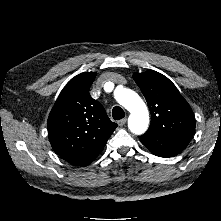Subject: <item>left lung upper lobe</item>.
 <instances>
[{
  "label": "left lung upper lobe",
  "instance_id": "left-lung-upper-lobe-1",
  "mask_svg": "<svg viewBox=\"0 0 221 221\" xmlns=\"http://www.w3.org/2000/svg\"><path fill=\"white\" fill-rule=\"evenodd\" d=\"M133 79L150 108L151 124L147 132L191 139L195 117L176 86L166 76L153 70L135 73Z\"/></svg>",
  "mask_w": 221,
  "mask_h": 221
}]
</instances>
